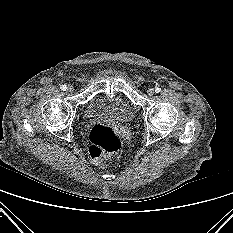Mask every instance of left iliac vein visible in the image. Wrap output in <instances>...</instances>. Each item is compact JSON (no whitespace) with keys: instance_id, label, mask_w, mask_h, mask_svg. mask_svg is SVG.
Listing matches in <instances>:
<instances>
[{"instance_id":"left-iliac-vein-1","label":"left iliac vein","mask_w":233,"mask_h":233,"mask_svg":"<svg viewBox=\"0 0 233 233\" xmlns=\"http://www.w3.org/2000/svg\"><path fill=\"white\" fill-rule=\"evenodd\" d=\"M147 94H148L149 96H152V95L154 94V89H153V88L148 89V90H147Z\"/></svg>"}]
</instances>
